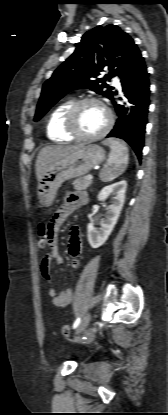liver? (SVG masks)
I'll return each instance as SVG.
<instances>
[{
    "label": "liver",
    "instance_id": "obj_1",
    "mask_svg": "<svg viewBox=\"0 0 168 415\" xmlns=\"http://www.w3.org/2000/svg\"><path fill=\"white\" fill-rule=\"evenodd\" d=\"M80 146L81 145H52L42 148L35 164L37 180H41L53 163L69 155Z\"/></svg>",
    "mask_w": 168,
    "mask_h": 415
}]
</instances>
